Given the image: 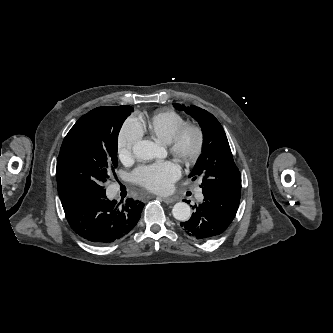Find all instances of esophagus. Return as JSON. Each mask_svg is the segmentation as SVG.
I'll return each mask as SVG.
<instances>
[{"label":"esophagus","instance_id":"1","mask_svg":"<svg viewBox=\"0 0 333 333\" xmlns=\"http://www.w3.org/2000/svg\"><path fill=\"white\" fill-rule=\"evenodd\" d=\"M162 200L166 203V204H170V203H174L176 201L175 198L172 197H163Z\"/></svg>","mask_w":333,"mask_h":333}]
</instances>
